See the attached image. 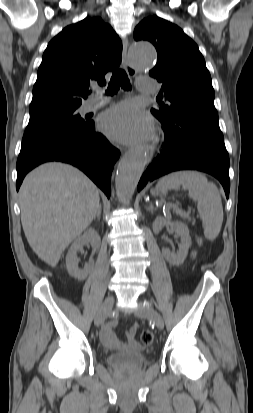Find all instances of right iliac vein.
<instances>
[{
  "label": "right iliac vein",
  "instance_id": "obj_1",
  "mask_svg": "<svg viewBox=\"0 0 253 413\" xmlns=\"http://www.w3.org/2000/svg\"><path fill=\"white\" fill-rule=\"evenodd\" d=\"M113 305H114V297L112 296L107 297L97 312V315L94 320L95 325L98 326L104 322V320L111 313Z\"/></svg>",
  "mask_w": 253,
  "mask_h": 413
}]
</instances>
